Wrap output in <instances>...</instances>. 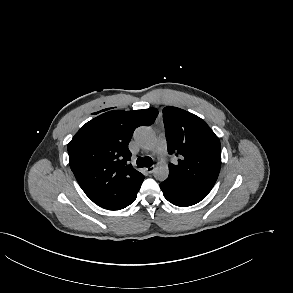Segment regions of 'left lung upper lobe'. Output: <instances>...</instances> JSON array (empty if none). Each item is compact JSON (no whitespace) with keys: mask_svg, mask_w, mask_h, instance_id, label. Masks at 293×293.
<instances>
[{"mask_svg":"<svg viewBox=\"0 0 293 293\" xmlns=\"http://www.w3.org/2000/svg\"><path fill=\"white\" fill-rule=\"evenodd\" d=\"M163 121L168 152L179 156L176 165L169 164L167 179L212 188L221 167L219 138L201 118L180 108L165 107Z\"/></svg>","mask_w":293,"mask_h":293,"instance_id":"obj_1","label":"left lung upper lobe"}]
</instances>
